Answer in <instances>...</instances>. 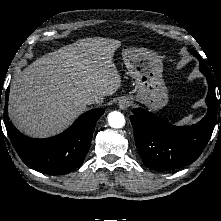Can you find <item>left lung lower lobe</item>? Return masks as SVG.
Here are the masks:
<instances>
[{
    "mask_svg": "<svg viewBox=\"0 0 221 221\" xmlns=\"http://www.w3.org/2000/svg\"><path fill=\"white\" fill-rule=\"evenodd\" d=\"M196 57L200 61V71L209 84L206 97L208 112L199 123L177 127L144 109L132 110L130 121L136 147L143 163L151 169L172 170L191 164L200 156L211 137L217 117V98L208 67L199 55Z\"/></svg>",
    "mask_w": 221,
    "mask_h": 221,
    "instance_id": "0a47b994",
    "label": "left lung lower lobe"
}]
</instances>
